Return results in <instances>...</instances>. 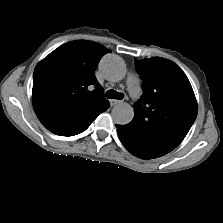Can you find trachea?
I'll list each match as a JSON object with an SVG mask.
<instances>
[{
    "label": "trachea",
    "mask_w": 223,
    "mask_h": 223,
    "mask_svg": "<svg viewBox=\"0 0 223 223\" xmlns=\"http://www.w3.org/2000/svg\"><path fill=\"white\" fill-rule=\"evenodd\" d=\"M106 98L122 100L124 98V94L111 89L106 92Z\"/></svg>",
    "instance_id": "1"
}]
</instances>
